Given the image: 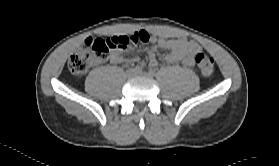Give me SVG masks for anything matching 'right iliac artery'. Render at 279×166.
Segmentation results:
<instances>
[{
    "label": "right iliac artery",
    "instance_id": "82829eb1",
    "mask_svg": "<svg viewBox=\"0 0 279 166\" xmlns=\"http://www.w3.org/2000/svg\"><path fill=\"white\" fill-rule=\"evenodd\" d=\"M134 70H135L136 72H141V71H142V67H141V66H136V67L134 68Z\"/></svg>",
    "mask_w": 279,
    "mask_h": 166
}]
</instances>
